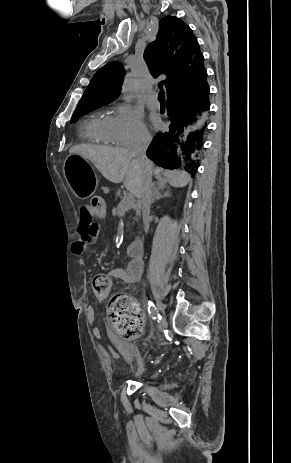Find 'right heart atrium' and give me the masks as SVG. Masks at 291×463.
Returning a JSON list of instances; mask_svg holds the SVG:
<instances>
[{
    "mask_svg": "<svg viewBox=\"0 0 291 463\" xmlns=\"http://www.w3.org/2000/svg\"><path fill=\"white\" fill-rule=\"evenodd\" d=\"M111 130L116 144L121 146H133L150 140V133L141 116L127 105L116 107Z\"/></svg>",
    "mask_w": 291,
    "mask_h": 463,
    "instance_id": "right-heart-atrium-1",
    "label": "right heart atrium"
}]
</instances>
